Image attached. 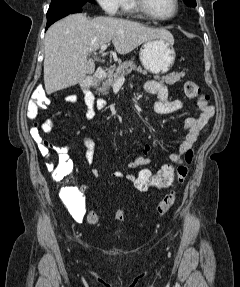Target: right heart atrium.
Returning a JSON list of instances; mask_svg holds the SVG:
<instances>
[{
  "mask_svg": "<svg viewBox=\"0 0 240 287\" xmlns=\"http://www.w3.org/2000/svg\"><path fill=\"white\" fill-rule=\"evenodd\" d=\"M122 0H97L100 7L111 16L118 15Z\"/></svg>",
  "mask_w": 240,
  "mask_h": 287,
  "instance_id": "obj_1",
  "label": "right heart atrium"
}]
</instances>
